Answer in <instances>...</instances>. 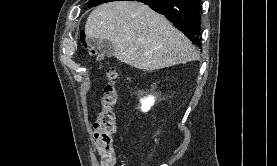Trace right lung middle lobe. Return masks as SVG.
Masks as SVG:
<instances>
[{"label": "right lung middle lobe", "mask_w": 277, "mask_h": 166, "mask_svg": "<svg viewBox=\"0 0 277 166\" xmlns=\"http://www.w3.org/2000/svg\"><path fill=\"white\" fill-rule=\"evenodd\" d=\"M112 0H90L86 5L91 8L102 3L111 2Z\"/></svg>", "instance_id": "obj_1"}]
</instances>
